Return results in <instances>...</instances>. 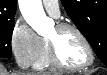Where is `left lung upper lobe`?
<instances>
[{
  "label": "left lung upper lobe",
  "mask_w": 107,
  "mask_h": 75,
  "mask_svg": "<svg viewBox=\"0 0 107 75\" xmlns=\"http://www.w3.org/2000/svg\"><path fill=\"white\" fill-rule=\"evenodd\" d=\"M67 14L107 66V0H61Z\"/></svg>",
  "instance_id": "obj_1"
}]
</instances>
